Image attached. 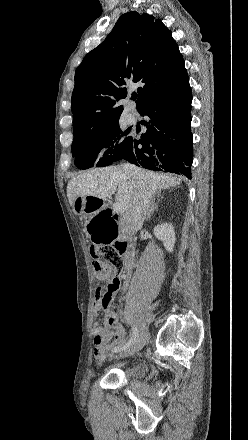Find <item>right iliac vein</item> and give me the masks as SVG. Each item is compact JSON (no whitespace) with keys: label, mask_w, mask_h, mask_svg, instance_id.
Returning a JSON list of instances; mask_svg holds the SVG:
<instances>
[{"label":"right iliac vein","mask_w":248,"mask_h":440,"mask_svg":"<svg viewBox=\"0 0 248 440\" xmlns=\"http://www.w3.org/2000/svg\"><path fill=\"white\" fill-rule=\"evenodd\" d=\"M148 330L145 327H142L140 329V333L138 335L137 340L131 345V347H129L128 349L124 350V352H122L120 355L127 357L130 355L135 354L136 352H138L139 350H141L144 345L146 344V341L148 340Z\"/></svg>","instance_id":"right-iliac-vein-1"}]
</instances>
